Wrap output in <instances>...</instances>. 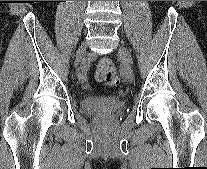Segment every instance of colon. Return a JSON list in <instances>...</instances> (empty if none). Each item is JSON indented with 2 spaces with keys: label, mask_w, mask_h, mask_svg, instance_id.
<instances>
[{
  "label": "colon",
  "mask_w": 207,
  "mask_h": 169,
  "mask_svg": "<svg viewBox=\"0 0 207 169\" xmlns=\"http://www.w3.org/2000/svg\"><path fill=\"white\" fill-rule=\"evenodd\" d=\"M95 77L106 86L115 88L120 84V77L114 63L108 58H101L96 66Z\"/></svg>",
  "instance_id": "1"
}]
</instances>
